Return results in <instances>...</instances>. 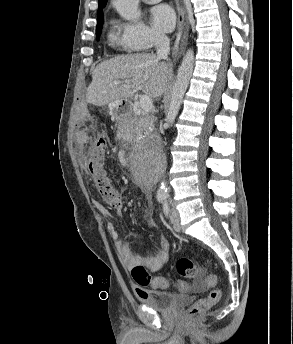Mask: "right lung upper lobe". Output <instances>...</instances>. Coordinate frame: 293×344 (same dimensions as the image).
<instances>
[{"mask_svg": "<svg viewBox=\"0 0 293 344\" xmlns=\"http://www.w3.org/2000/svg\"><path fill=\"white\" fill-rule=\"evenodd\" d=\"M106 3H107V0H99V10L97 12V18L100 17L101 13H103L101 9L106 6Z\"/></svg>", "mask_w": 293, "mask_h": 344, "instance_id": "1", "label": "right lung upper lobe"}]
</instances>
